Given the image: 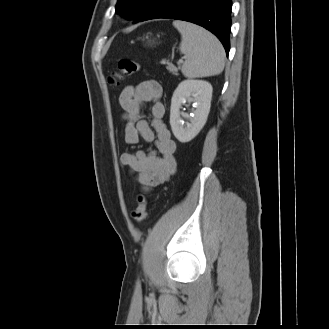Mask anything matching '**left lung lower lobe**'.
I'll list each match as a JSON object with an SVG mask.
<instances>
[{
	"label": "left lung lower lobe",
	"mask_w": 329,
	"mask_h": 329,
	"mask_svg": "<svg viewBox=\"0 0 329 329\" xmlns=\"http://www.w3.org/2000/svg\"><path fill=\"white\" fill-rule=\"evenodd\" d=\"M231 0H154L135 22L156 18L184 20L212 32L230 50Z\"/></svg>",
	"instance_id": "0a47b994"
}]
</instances>
